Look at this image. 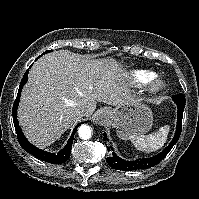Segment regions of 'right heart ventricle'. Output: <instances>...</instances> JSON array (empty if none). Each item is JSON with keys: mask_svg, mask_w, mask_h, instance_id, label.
Returning a JSON list of instances; mask_svg holds the SVG:
<instances>
[{"mask_svg": "<svg viewBox=\"0 0 199 199\" xmlns=\"http://www.w3.org/2000/svg\"><path fill=\"white\" fill-rule=\"evenodd\" d=\"M155 77L156 74L151 71L137 70L132 72V78L141 83H150Z\"/></svg>", "mask_w": 199, "mask_h": 199, "instance_id": "right-heart-ventricle-1", "label": "right heart ventricle"}]
</instances>
